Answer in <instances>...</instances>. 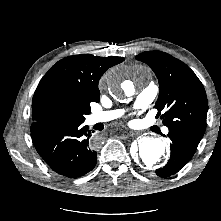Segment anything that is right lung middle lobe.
Here are the masks:
<instances>
[{
    "mask_svg": "<svg viewBox=\"0 0 221 221\" xmlns=\"http://www.w3.org/2000/svg\"><path fill=\"white\" fill-rule=\"evenodd\" d=\"M89 99H82L61 91L46 93L38 105L44 121H84L90 113Z\"/></svg>",
    "mask_w": 221,
    "mask_h": 221,
    "instance_id": "1",
    "label": "right lung middle lobe"
}]
</instances>
